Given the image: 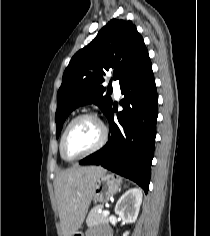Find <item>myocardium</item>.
Here are the masks:
<instances>
[{
  "mask_svg": "<svg viewBox=\"0 0 210 236\" xmlns=\"http://www.w3.org/2000/svg\"><path fill=\"white\" fill-rule=\"evenodd\" d=\"M86 118L96 121V123L99 125L100 130H101L100 138H99L98 142L91 149L87 150L83 154H81L75 158H67L64 154V141H65L66 135L74 123H76L77 121H79L81 119H86ZM107 138H108V129H107L106 125L103 123V121L94 113H90V112L82 113V114L76 116L75 118H73L69 122V124L66 126V128L61 136V140H60L61 157L67 162H74V161L80 160V159L98 151L99 149H101L105 145Z\"/></svg>",
  "mask_w": 210,
  "mask_h": 236,
  "instance_id": "obj_1",
  "label": "myocardium"
}]
</instances>
